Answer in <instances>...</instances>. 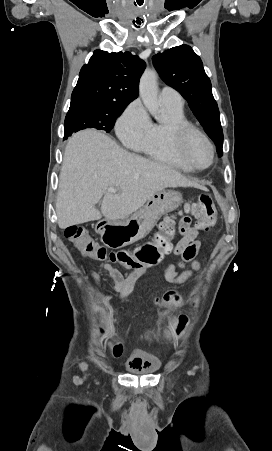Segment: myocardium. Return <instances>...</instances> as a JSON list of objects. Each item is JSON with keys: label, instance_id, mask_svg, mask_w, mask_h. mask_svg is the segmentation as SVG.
<instances>
[{"label": "myocardium", "instance_id": "obj_1", "mask_svg": "<svg viewBox=\"0 0 272 451\" xmlns=\"http://www.w3.org/2000/svg\"><path fill=\"white\" fill-rule=\"evenodd\" d=\"M168 139L174 144L180 167L186 172H198L201 169L194 168L187 160L188 145L193 137L198 138L208 150L210 159L207 165L211 167L215 162V150L207 136L197 128L186 122H171L168 128Z\"/></svg>", "mask_w": 272, "mask_h": 451}]
</instances>
